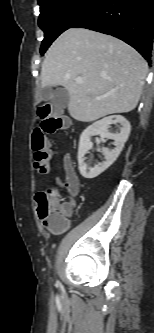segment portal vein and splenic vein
Returning a JSON list of instances; mask_svg holds the SVG:
<instances>
[{"instance_id": "18ae733b", "label": "portal vein and splenic vein", "mask_w": 154, "mask_h": 333, "mask_svg": "<svg viewBox=\"0 0 154 333\" xmlns=\"http://www.w3.org/2000/svg\"><path fill=\"white\" fill-rule=\"evenodd\" d=\"M82 82H83V81H82L81 78H77V79H76V83L81 84ZM96 99H97V100H100V99H102V97H96Z\"/></svg>"}]
</instances>
